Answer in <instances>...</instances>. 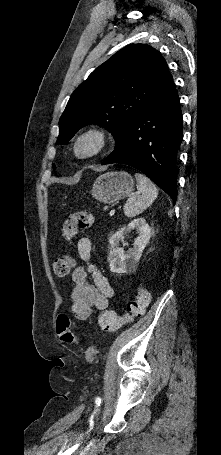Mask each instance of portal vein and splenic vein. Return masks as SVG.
Segmentation results:
<instances>
[{"label": "portal vein and splenic vein", "mask_w": 221, "mask_h": 455, "mask_svg": "<svg viewBox=\"0 0 221 455\" xmlns=\"http://www.w3.org/2000/svg\"><path fill=\"white\" fill-rule=\"evenodd\" d=\"M114 213H115V210H111V211L109 212V215H110V216H113Z\"/></svg>", "instance_id": "1"}]
</instances>
